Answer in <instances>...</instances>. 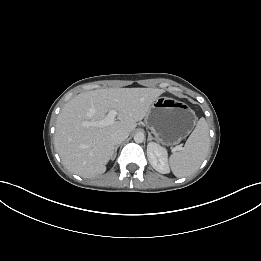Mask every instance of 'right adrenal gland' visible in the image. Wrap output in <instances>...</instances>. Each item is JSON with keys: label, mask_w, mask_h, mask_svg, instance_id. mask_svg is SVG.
Returning a JSON list of instances; mask_svg holds the SVG:
<instances>
[{"label": "right adrenal gland", "mask_w": 261, "mask_h": 261, "mask_svg": "<svg viewBox=\"0 0 261 261\" xmlns=\"http://www.w3.org/2000/svg\"><path fill=\"white\" fill-rule=\"evenodd\" d=\"M120 145H117L115 148H114V154H113V157H112V160H114L116 158V155H117V149L119 148Z\"/></svg>", "instance_id": "right-adrenal-gland-1"}]
</instances>
